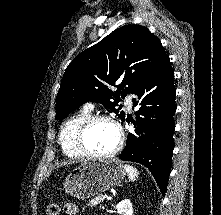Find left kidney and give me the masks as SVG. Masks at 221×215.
Returning <instances> with one entry per match:
<instances>
[{"label":"left kidney","mask_w":221,"mask_h":215,"mask_svg":"<svg viewBox=\"0 0 221 215\" xmlns=\"http://www.w3.org/2000/svg\"><path fill=\"white\" fill-rule=\"evenodd\" d=\"M117 211L121 215H133V207L130 200L125 199L116 205Z\"/></svg>","instance_id":"1"}]
</instances>
